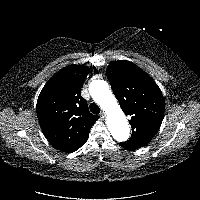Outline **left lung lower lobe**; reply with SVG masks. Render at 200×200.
Returning a JSON list of instances; mask_svg holds the SVG:
<instances>
[{"label": "left lung lower lobe", "mask_w": 200, "mask_h": 200, "mask_svg": "<svg viewBox=\"0 0 200 200\" xmlns=\"http://www.w3.org/2000/svg\"><path fill=\"white\" fill-rule=\"evenodd\" d=\"M120 145H121L123 148H125V149H128V150H129V148H128V147H126V145H124L123 143H120Z\"/></svg>", "instance_id": "0a47b994"}]
</instances>
